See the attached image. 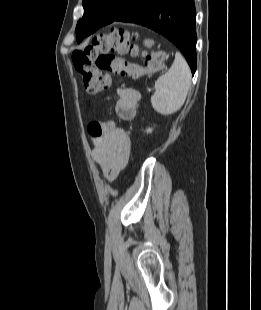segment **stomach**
Here are the masks:
<instances>
[{
	"label": "stomach",
	"instance_id": "0dacf381",
	"mask_svg": "<svg viewBox=\"0 0 261 310\" xmlns=\"http://www.w3.org/2000/svg\"><path fill=\"white\" fill-rule=\"evenodd\" d=\"M153 43H154V42H153L152 40H145V41H144V44H145L146 46H151Z\"/></svg>",
	"mask_w": 261,
	"mask_h": 310
}]
</instances>
